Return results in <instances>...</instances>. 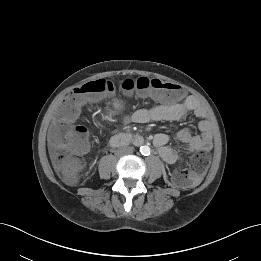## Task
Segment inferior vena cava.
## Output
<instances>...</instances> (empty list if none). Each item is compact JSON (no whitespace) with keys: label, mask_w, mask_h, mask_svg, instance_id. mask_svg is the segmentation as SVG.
Here are the masks:
<instances>
[{"label":"inferior vena cava","mask_w":261,"mask_h":261,"mask_svg":"<svg viewBox=\"0 0 261 261\" xmlns=\"http://www.w3.org/2000/svg\"><path fill=\"white\" fill-rule=\"evenodd\" d=\"M118 151L121 154H131L133 152V147L131 146L121 147Z\"/></svg>","instance_id":"602c4592"}]
</instances>
